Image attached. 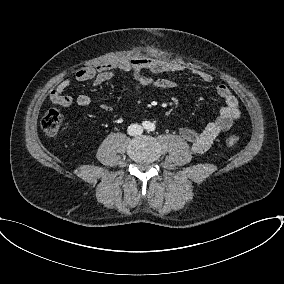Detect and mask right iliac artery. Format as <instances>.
<instances>
[{"instance_id":"right-iliac-artery-1","label":"right iliac artery","mask_w":284,"mask_h":284,"mask_svg":"<svg viewBox=\"0 0 284 284\" xmlns=\"http://www.w3.org/2000/svg\"><path fill=\"white\" fill-rule=\"evenodd\" d=\"M143 125H144L145 127H147V126H148V122H144Z\"/></svg>"}]
</instances>
